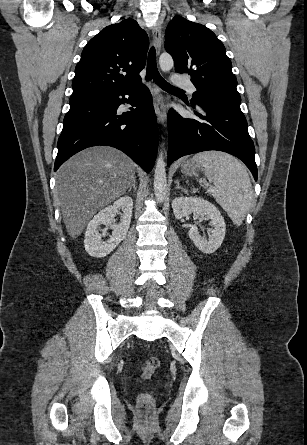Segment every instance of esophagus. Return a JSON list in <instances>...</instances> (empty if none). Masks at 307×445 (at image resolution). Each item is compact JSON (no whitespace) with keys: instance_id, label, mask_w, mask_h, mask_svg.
<instances>
[{"instance_id":"34e87169","label":"esophagus","mask_w":307,"mask_h":445,"mask_svg":"<svg viewBox=\"0 0 307 445\" xmlns=\"http://www.w3.org/2000/svg\"><path fill=\"white\" fill-rule=\"evenodd\" d=\"M152 39H153V45L156 48L157 53H159L161 49L160 24H157L155 25V27L152 28ZM153 90H154V109L157 115V120L161 123L162 126H165L167 114L163 105V96L158 88L153 86Z\"/></svg>"}]
</instances>
